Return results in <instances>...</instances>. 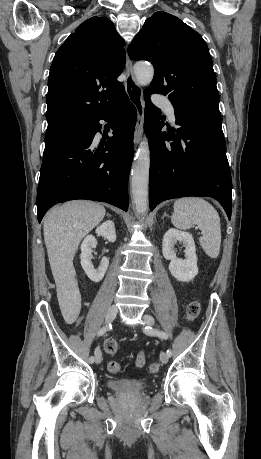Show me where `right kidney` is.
Segmentation results:
<instances>
[{"instance_id":"right-kidney-1","label":"right kidney","mask_w":261,"mask_h":459,"mask_svg":"<svg viewBox=\"0 0 261 459\" xmlns=\"http://www.w3.org/2000/svg\"><path fill=\"white\" fill-rule=\"evenodd\" d=\"M96 234L106 238L109 242H115L116 240V232L114 223L110 220L104 222L96 229ZM97 245V240L94 236L88 235L81 244V266L90 280L93 282H100L108 268L109 260L104 257L101 260L100 266L95 269L91 258H92V250Z\"/></svg>"}]
</instances>
